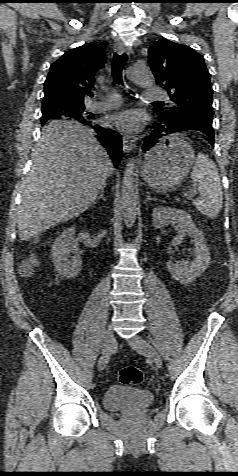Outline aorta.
<instances>
[{
    "label": "aorta",
    "mask_w": 238,
    "mask_h": 476,
    "mask_svg": "<svg viewBox=\"0 0 238 476\" xmlns=\"http://www.w3.org/2000/svg\"><path fill=\"white\" fill-rule=\"evenodd\" d=\"M128 78L135 84L146 88L154 83L152 73L146 68L133 66L127 72ZM135 167L136 159L133 157L126 164L121 188V211L127 228H132L136 221L137 202L135 194Z\"/></svg>",
    "instance_id": "obj_1"
}]
</instances>
